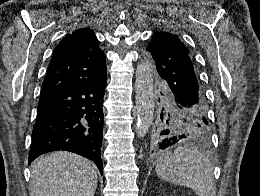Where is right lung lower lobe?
Instances as JSON below:
<instances>
[{
	"label": "right lung lower lobe",
	"instance_id": "98d812e1",
	"mask_svg": "<svg viewBox=\"0 0 260 196\" xmlns=\"http://www.w3.org/2000/svg\"><path fill=\"white\" fill-rule=\"evenodd\" d=\"M107 76L40 98L29 152L30 164L38 156L58 150L90 160L103 173V97Z\"/></svg>",
	"mask_w": 260,
	"mask_h": 196
}]
</instances>
